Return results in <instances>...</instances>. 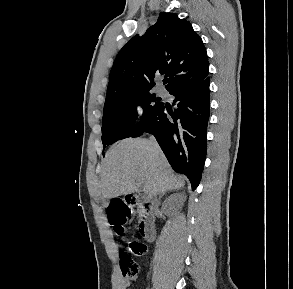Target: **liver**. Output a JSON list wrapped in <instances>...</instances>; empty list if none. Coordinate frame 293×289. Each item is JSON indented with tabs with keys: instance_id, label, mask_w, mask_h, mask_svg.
Here are the masks:
<instances>
[{
	"instance_id": "liver-1",
	"label": "liver",
	"mask_w": 293,
	"mask_h": 289,
	"mask_svg": "<svg viewBox=\"0 0 293 289\" xmlns=\"http://www.w3.org/2000/svg\"><path fill=\"white\" fill-rule=\"evenodd\" d=\"M137 184L151 198L183 187L185 178L174 175L158 144L143 138H128L106 153L101 171L102 198L131 194Z\"/></svg>"
}]
</instances>
